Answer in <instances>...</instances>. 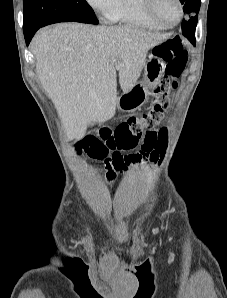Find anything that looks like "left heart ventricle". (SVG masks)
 <instances>
[{"mask_svg":"<svg viewBox=\"0 0 227 298\" xmlns=\"http://www.w3.org/2000/svg\"><path fill=\"white\" fill-rule=\"evenodd\" d=\"M156 12L167 23H174L179 17L176 0H157Z\"/></svg>","mask_w":227,"mask_h":298,"instance_id":"1","label":"left heart ventricle"}]
</instances>
